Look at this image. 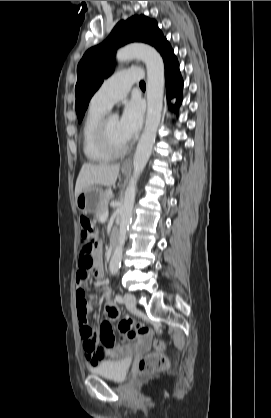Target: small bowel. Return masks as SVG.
I'll use <instances>...</instances> for the list:
<instances>
[{"instance_id":"obj_1","label":"small bowel","mask_w":271,"mask_h":418,"mask_svg":"<svg viewBox=\"0 0 271 418\" xmlns=\"http://www.w3.org/2000/svg\"><path fill=\"white\" fill-rule=\"evenodd\" d=\"M104 263L102 262V250L99 245L87 243L76 253V309L80 327V337L85 351L86 361L91 366H96L108 359L118 357L130 348L126 344L129 340H123L116 344L113 337L111 322L119 318V311L109 299V290L103 281L102 291L108 297L105 305L107 319L102 321L96 329H93L87 321V314L98 306L95 297L87 298V286L91 285V277L103 279ZM122 333V332H121ZM124 337L126 333H123ZM132 340V339H130Z\"/></svg>"}]
</instances>
